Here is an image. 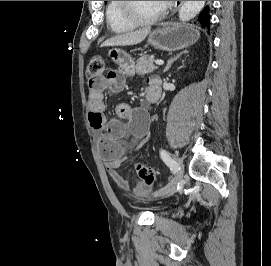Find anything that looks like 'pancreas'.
Returning a JSON list of instances; mask_svg holds the SVG:
<instances>
[{
    "label": "pancreas",
    "instance_id": "obj_1",
    "mask_svg": "<svg viewBox=\"0 0 271 266\" xmlns=\"http://www.w3.org/2000/svg\"><path fill=\"white\" fill-rule=\"evenodd\" d=\"M157 67L154 65V56L144 55L140 57L135 66L137 74L143 75L146 73H151L156 70Z\"/></svg>",
    "mask_w": 271,
    "mask_h": 266
}]
</instances>
